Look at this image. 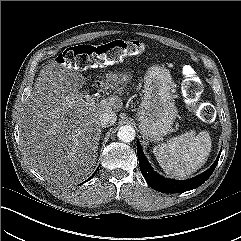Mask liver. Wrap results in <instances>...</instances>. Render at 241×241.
Instances as JSON below:
<instances>
[{"mask_svg": "<svg viewBox=\"0 0 241 241\" xmlns=\"http://www.w3.org/2000/svg\"><path fill=\"white\" fill-rule=\"evenodd\" d=\"M73 73L55 62L44 66L19 121L24 156L34 171L57 185L73 184L90 174L101 134L98 115L122 108L119 96L125 85L117 74H107L104 83L114 94L98 101L79 92L76 81L84 78Z\"/></svg>", "mask_w": 241, "mask_h": 241, "instance_id": "liver-1", "label": "liver"}]
</instances>
